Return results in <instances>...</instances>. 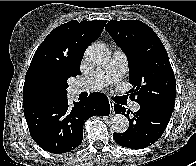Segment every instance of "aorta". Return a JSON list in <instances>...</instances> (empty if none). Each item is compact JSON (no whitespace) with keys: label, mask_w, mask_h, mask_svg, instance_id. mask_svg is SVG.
Listing matches in <instances>:
<instances>
[{"label":"aorta","mask_w":196,"mask_h":166,"mask_svg":"<svg viewBox=\"0 0 196 166\" xmlns=\"http://www.w3.org/2000/svg\"><path fill=\"white\" fill-rule=\"evenodd\" d=\"M84 57L90 65L103 66L109 62L110 52L103 44H92L86 49ZM111 127L116 133H124L129 121L123 114H116L111 119Z\"/></svg>","instance_id":"1"}]
</instances>
